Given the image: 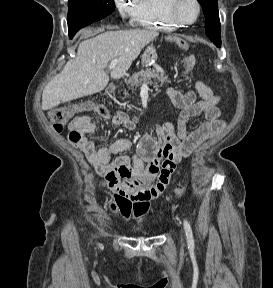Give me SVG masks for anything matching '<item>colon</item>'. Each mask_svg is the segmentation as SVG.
Segmentation results:
<instances>
[{"label":"colon","instance_id":"1","mask_svg":"<svg viewBox=\"0 0 273 288\" xmlns=\"http://www.w3.org/2000/svg\"><path fill=\"white\" fill-rule=\"evenodd\" d=\"M177 44L183 50H187L188 48L187 44L183 41H178ZM184 65H185L186 70H190L194 65V57L192 55L187 56L185 58ZM90 108H91V104H88V103L59 107L50 111L48 117L54 129L56 131H61L63 126L66 123H68L75 116V114L84 110H88ZM80 135L81 134L77 131L73 133V136L75 138H79ZM186 189H187V186H179L175 190V198L181 197L186 192Z\"/></svg>","mask_w":273,"mask_h":288}]
</instances>
